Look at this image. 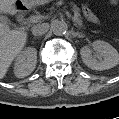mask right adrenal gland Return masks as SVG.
<instances>
[{
	"label": "right adrenal gland",
	"instance_id": "1",
	"mask_svg": "<svg viewBox=\"0 0 119 119\" xmlns=\"http://www.w3.org/2000/svg\"><path fill=\"white\" fill-rule=\"evenodd\" d=\"M38 38H40V37H34V39H38Z\"/></svg>",
	"mask_w": 119,
	"mask_h": 119
}]
</instances>
